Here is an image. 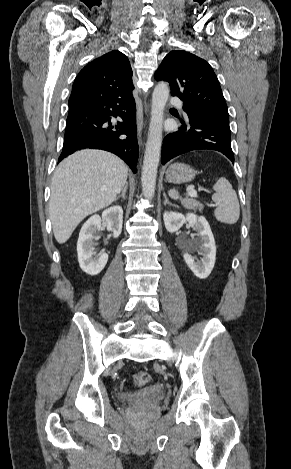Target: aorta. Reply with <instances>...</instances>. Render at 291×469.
Instances as JSON below:
<instances>
[{
	"mask_svg": "<svg viewBox=\"0 0 291 469\" xmlns=\"http://www.w3.org/2000/svg\"><path fill=\"white\" fill-rule=\"evenodd\" d=\"M169 93L168 85L159 82L152 95L151 119L141 175L142 193L147 199H152L155 193L162 145L163 114Z\"/></svg>",
	"mask_w": 291,
	"mask_h": 469,
	"instance_id": "obj_1",
	"label": "aorta"
}]
</instances>
